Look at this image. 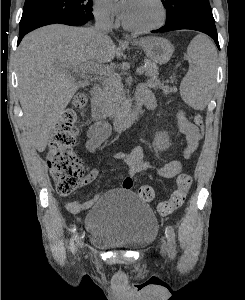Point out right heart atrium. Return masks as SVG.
I'll list each match as a JSON object with an SVG mask.
<instances>
[{
	"mask_svg": "<svg viewBox=\"0 0 245 300\" xmlns=\"http://www.w3.org/2000/svg\"><path fill=\"white\" fill-rule=\"evenodd\" d=\"M93 10L96 18L105 24H111L115 19L114 9L109 0H94Z\"/></svg>",
	"mask_w": 245,
	"mask_h": 300,
	"instance_id": "1",
	"label": "right heart atrium"
}]
</instances>
